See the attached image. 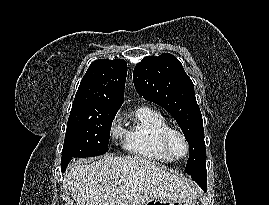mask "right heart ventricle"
I'll list each match as a JSON object with an SVG mask.
<instances>
[{
  "mask_svg": "<svg viewBox=\"0 0 269 205\" xmlns=\"http://www.w3.org/2000/svg\"><path fill=\"white\" fill-rule=\"evenodd\" d=\"M169 127L168 120L161 112L141 106L126 131L124 148L129 154L144 160L171 163L173 159L160 146V136Z\"/></svg>",
  "mask_w": 269,
  "mask_h": 205,
  "instance_id": "1",
  "label": "right heart ventricle"
}]
</instances>
